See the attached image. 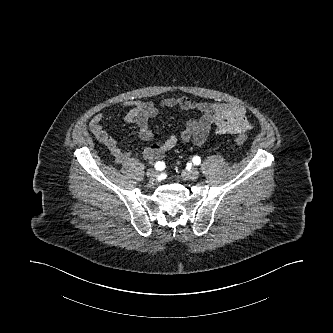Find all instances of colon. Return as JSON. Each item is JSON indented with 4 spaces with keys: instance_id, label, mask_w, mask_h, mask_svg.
<instances>
[{
    "instance_id": "5ec220e1",
    "label": "colon",
    "mask_w": 333,
    "mask_h": 333,
    "mask_svg": "<svg viewBox=\"0 0 333 333\" xmlns=\"http://www.w3.org/2000/svg\"><path fill=\"white\" fill-rule=\"evenodd\" d=\"M246 137L242 134L238 135L236 138H235V143L238 145V146H242L246 143Z\"/></svg>"
}]
</instances>
